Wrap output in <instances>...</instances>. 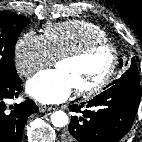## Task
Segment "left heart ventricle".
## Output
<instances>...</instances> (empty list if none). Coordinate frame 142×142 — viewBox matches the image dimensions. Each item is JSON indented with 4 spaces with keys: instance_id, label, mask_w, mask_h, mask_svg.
Segmentation results:
<instances>
[{
    "instance_id": "b2bd125f",
    "label": "left heart ventricle",
    "mask_w": 142,
    "mask_h": 142,
    "mask_svg": "<svg viewBox=\"0 0 142 142\" xmlns=\"http://www.w3.org/2000/svg\"><path fill=\"white\" fill-rule=\"evenodd\" d=\"M111 63L108 49H99L78 61H62L57 68L70 78L74 89L86 88L98 82Z\"/></svg>"
}]
</instances>
